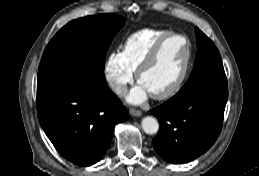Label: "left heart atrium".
Here are the masks:
<instances>
[{"label": "left heart atrium", "mask_w": 259, "mask_h": 176, "mask_svg": "<svg viewBox=\"0 0 259 176\" xmlns=\"http://www.w3.org/2000/svg\"><path fill=\"white\" fill-rule=\"evenodd\" d=\"M149 94L148 90L139 83L130 91L127 100L132 104H141L148 98Z\"/></svg>", "instance_id": "left-heart-atrium-1"}]
</instances>
